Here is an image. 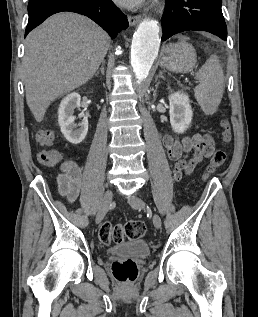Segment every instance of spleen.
I'll return each mask as SVG.
<instances>
[{"label":"spleen","instance_id":"3e777b00","mask_svg":"<svg viewBox=\"0 0 258 317\" xmlns=\"http://www.w3.org/2000/svg\"><path fill=\"white\" fill-rule=\"evenodd\" d=\"M200 84L195 86V98L205 114L216 112L224 92V74L217 56H209L196 72Z\"/></svg>","mask_w":258,"mask_h":317}]
</instances>
